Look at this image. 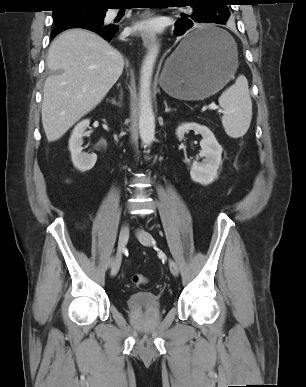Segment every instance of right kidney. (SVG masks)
<instances>
[{
	"mask_svg": "<svg viewBox=\"0 0 306 387\" xmlns=\"http://www.w3.org/2000/svg\"><path fill=\"white\" fill-rule=\"evenodd\" d=\"M89 124L90 120L88 119L78 123L73 129L69 140V150L73 165L81 172L92 169L97 161V155L95 153L89 154L82 151L83 136Z\"/></svg>",
	"mask_w": 306,
	"mask_h": 387,
	"instance_id": "1",
	"label": "right kidney"
}]
</instances>
